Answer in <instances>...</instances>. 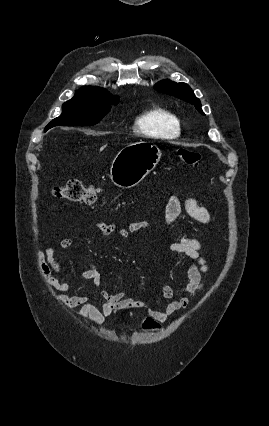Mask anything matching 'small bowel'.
<instances>
[{"instance_id":"obj_1","label":"small bowel","mask_w":269,"mask_h":426,"mask_svg":"<svg viewBox=\"0 0 269 426\" xmlns=\"http://www.w3.org/2000/svg\"><path fill=\"white\" fill-rule=\"evenodd\" d=\"M183 210L188 216L202 224L211 225L213 223L211 212L199 206L195 199L187 198L181 201L177 197H171L165 207L167 224L174 226L179 221ZM93 227L99 231L98 235L101 238H109L115 234L127 237L131 233L151 228L150 224L144 221L132 222L127 227L96 222ZM72 245L73 240L71 238H64L60 242V247L63 250L69 249ZM168 248L186 258L187 280L182 285L179 294H176L171 285H166L162 288L157 303L169 301L164 310L153 309L146 302L131 297L125 292L111 293L101 290L102 302L100 306L91 303L88 295L66 294L74 288V284L70 281H62L53 275V273H62V267L55 258L53 247H47L39 253V269L44 281L59 293L57 300L61 304L68 308H80L79 314L95 323H102L106 317L120 309H146L150 317L157 322L163 323L175 313L188 307L191 298L195 297L203 289L205 277L209 271L207 261L201 254L202 243L199 240L187 235L174 233L168 243ZM81 277L92 281L96 287L101 286V274L95 263H90L81 272ZM185 293L188 295H185Z\"/></svg>"}]
</instances>
